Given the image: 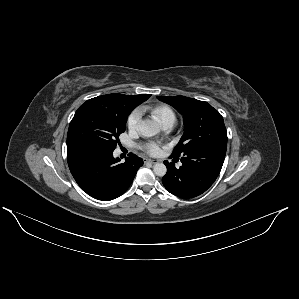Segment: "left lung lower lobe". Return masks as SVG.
Returning a JSON list of instances; mask_svg holds the SVG:
<instances>
[{"instance_id":"1","label":"left lung lower lobe","mask_w":299,"mask_h":299,"mask_svg":"<svg viewBox=\"0 0 299 299\" xmlns=\"http://www.w3.org/2000/svg\"><path fill=\"white\" fill-rule=\"evenodd\" d=\"M226 147L208 146L193 150L181 158L182 166L179 169L172 162L165 161L167 173L162 178L164 187L181 198H193L204 193L221 171Z\"/></svg>"}]
</instances>
